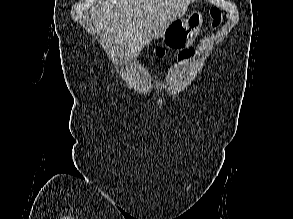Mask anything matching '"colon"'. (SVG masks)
Returning <instances> with one entry per match:
<instances>
[{
	"instance_id": "1",
	"label": "colon",
	"mask_w": 293,
	"mask_h": 219,
	"mask_svg": "<svg viewBox=\"0 0 293 219\" xmlns=\"http://www.w3.org/2000/svg\"><path fill=\"white\" fill-rule=\"evenodd\" d=\"M210 15L212 17V26L213 27H217L220 24V20H221V13L218 9L213 8L210 11ZM160 54V53H159ZM194 54L193 50H185L183 51L180 55L178 60L180 62L186 61L188 60L192 55Z\"/></svg>"
}]
</instances>
